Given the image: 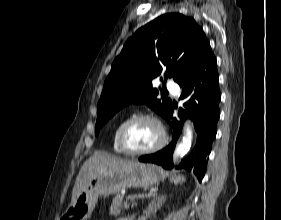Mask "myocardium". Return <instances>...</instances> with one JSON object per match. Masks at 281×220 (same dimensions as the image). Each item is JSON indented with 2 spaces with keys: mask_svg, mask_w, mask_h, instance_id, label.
I'll return each mask as SVG.
<instances>
[{
  "mask_svg": "<svg viewBox=\"0 0 281 220\" xmlns=\"http://www.w3.org/2000/svg\"><path fill=\"white\" fill-rule=\"evenodd\" d=\"M141 120H149V121L154 122L160 130L161 138H160V141L156 145H154L150 148L136 150V149L131 148L127 144L126 131L132 124H134L138 121H141ZM167 140H168V137H167L165 128H164L163 124L161 123V121L156 116L151 115V114H146V113H139V114L133 115L130 118L126 119L119 127L118 133H117L118 146L124 153L129 154V155H146V154L155 153L166 145Z\"/></svg>",
  "mask_w": 281,
  "mask_h": 220,
  "instance_id": "f54148a6",
  "label": "myocardium"
}]
</instances>
